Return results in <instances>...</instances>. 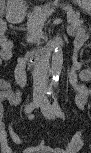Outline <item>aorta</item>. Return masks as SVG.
<instances>
[{"instance_id": "1", "label": "aorta", "mask_w": 91, "mask_h": 153, "mask_svg": "<svg viewBox=\"0 0 91 153\" xmlns=\"http://www.w3.org/2000/svg\"><path fill=\"white\" fill-rule=\"evenodd\" d=\"M62 65H63V51L59 46H57L53 51L52 65H51V72L53 80L55 82H57L59 79L62 70Z\"/></svg>"}]
</instances>
